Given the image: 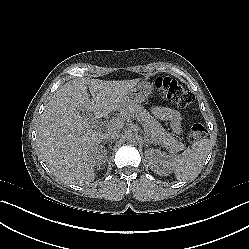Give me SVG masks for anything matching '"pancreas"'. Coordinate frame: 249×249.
Segmentation results:
<instances>
[{
  "label": "pancreas",
  "instance_id": "pancreas-1",
  "mask_svg": "<svg viewBox=\"0 0 249 249\" xmlns=\"http://www.w3.org/2000/svg\"><path fill=\"white\" fill-rule=\"evenodd\" d=\"M121 115L124 118L132 117L137 119L148 133V137L150 136L153 141L168 146L171 149H178L181 146V143L169 132H166L161 124L142 105H127L122 110Z\"/></svg>",
  "mask_w": 249,
  "mask_h": 249
}]
</instances>
